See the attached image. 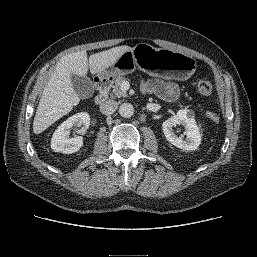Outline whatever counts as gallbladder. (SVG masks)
I'll return each instance as SVG.
<instances>
[{
  "label": "gallbladder",
  "instance_id": "gallbladder-1",
  "mask_svg": "<svg viewBox=\"0 0 257 257\" xmlns=\"http://www.w3.org/2000/svg\"><path fill=\"white\" fill-rule=\"evenodd\" d=\"M71 80L75 92L81 99H86L93 95L94 85L90 78L72 75Z\"/></svg>",
  "mask_w": 257,
  "mask_h": 257
}]
</instances>
